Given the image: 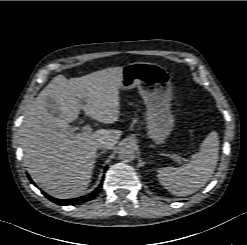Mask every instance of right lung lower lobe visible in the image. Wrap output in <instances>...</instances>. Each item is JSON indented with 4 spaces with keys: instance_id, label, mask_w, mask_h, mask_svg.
<instances>
[{
    "instance_id": "1",
    "label": "right lung lower lobe",
    "mask_w": 247,
    "mask_h": 245,
    "mask_svg": "<svg viewBox=\"0 0 247 245\" xmlns=\"http://www.w3.org/2000/svg\"><path fill=\"white\" fill-rule=\"evenodd\" d=\"M102 188V183L90 194L85 195V196H81L78 198H74L72 200H61V199H56L53 197L48 196L47 194L43 193L49 200H51L52 202L58 204V205H76V204H80L86 201H89L91 199H93L98 192L101 190Z\"/></svg>"
}]
</instances>
